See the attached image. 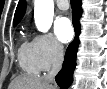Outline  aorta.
Masks as SVG:
<instances>
[{
  "label": "aorta",
  "instance_id": "762f6f07",
  "mask_svg": "<svg viewBox=\"0 0 107 89\" xmlns=\"http://www.w3.org/2000/svg\"><path fill=\"white\" fill-rule=\"evenodd\" d=\"M54 2L53 0L34 1V19L37 29L46 33L53 23Z\"/></svg>",
  "mask_w": 107,
  "mask_h": 89
}]
</instances>
